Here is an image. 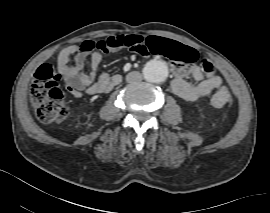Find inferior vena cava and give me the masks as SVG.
Masks as SVG:
<instances>
[{"label": "inferior vena cava", "instance_id": "obj_1", "mask_svg": "<svg viewBox=\"0 0 270 213\" xmlns=\"http://www.w3.org/2000/svg\"><path fill=\"white\" fill-rule=\"evenodd\" d=\"M141 80H142V75L137 71L130 72L126 76V81L129 83L139 82Z\"/></svg>", "mask_w": 270, "mask_h": 213}]
</instances>
